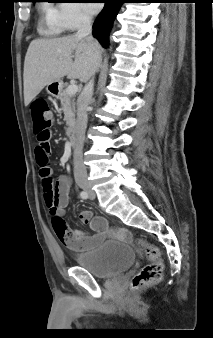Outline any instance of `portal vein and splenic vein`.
Wrapping results in <instances>:
<instances>
[{"mask_svg": "<svg viewBox=\"0 0 213 338\" xmlns=\"http://www.w3.org/2000/svg\"><path fill=\"white\" fill-rule=\"evenodd\" d=\"M66 91L69 95H74L78 91V86L76 84H71L67 87Z\"/></svg>", "mask_w": 213, "mask_h": 338, "instance_id": "obj_1", "label": "portal vein and splenic vein"}]
</instances>
